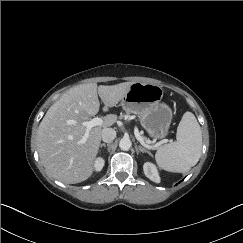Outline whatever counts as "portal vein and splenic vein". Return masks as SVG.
I'll list each match as a JSON object with an SVG mask.
<instances>
[{"label":"portal vein and splenic vein","mask_w":243,"mask_h":243,"mask_svg":"<svg viewBox=\"0 0 243 243\" xmlns=\"http://www.w3.org/2000/svg\"><path fill=\"white\" fill-rule=\"evenodd\" d=\"M69 124H75L76 122L74 120H69L68 121ZM103 124V120L101 118L95 117L93 119H91L90 121H84L82 122V125L84 127H86V132L81 140V143H84L89 135V131L91 128L95 127V126H99ZM135 137L137 138V140L147 149H153L154 147L151 145H148V143L142 138V136H140L139 132L137 130H135Z\"/></svg>","instance_id":"obj_1"}]
</instances>
